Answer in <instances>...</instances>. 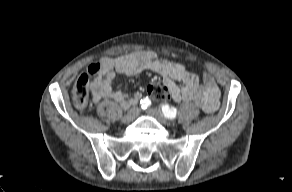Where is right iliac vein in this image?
<instances>
[{
	"label": "right iliac vein",
	"instance_id": "obj_1",
	"mask_svg": "<svg viewBox=\"0 0 292 192\" xmlns=\"http://www.w3.org/2000/svg\"><path fill=\"white\" fill-rule=\"evenodd\" d=\"M139 112H140V110L138 107H132L128 111V113L122 117V122L128 123V122L133 121L134 119L137 118V116L139 115Z\"/></svg>",
	"mask_w": 292,
	"mask_h": 192
}]
</instances>
